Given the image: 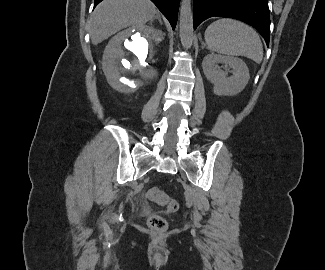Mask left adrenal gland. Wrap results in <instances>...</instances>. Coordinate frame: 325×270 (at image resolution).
Masks as SVG:
<instances>
[{"label": "left adrenal gland", "instance_id": "a2214340", "mask_svg": "<svg viewBox=\"0 0 325 270\" xmlns=\"http://www.w3.org/2000/svg\"><path fill=\"white\" fill-rule=\"evenodd\" d=\"M206 47V44L204 42H202V49H204Z\"/></svg>", "mask_w": 325, "mask_h": 270}]
</instances>
